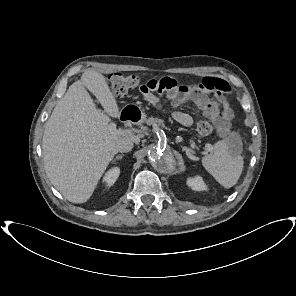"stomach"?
I'll return each mask as SVG.
<instances>
[{"mask_svg": "<svg viewBox=\"0 0 296 296\" xmlns=\"http://www.w3.org/2000/svg\"><path fill=\"white\" fill-rule=\"evenodd\" d=\"M141 115H142V118H144V117H145L144 113H142V112H141Z\"/></svg>", "mask_w": 296, "mask_h": 296, "instance_id": "0dacf381", "label": "stomach"}]
</instances>
